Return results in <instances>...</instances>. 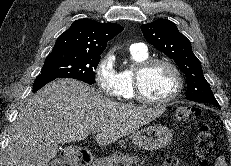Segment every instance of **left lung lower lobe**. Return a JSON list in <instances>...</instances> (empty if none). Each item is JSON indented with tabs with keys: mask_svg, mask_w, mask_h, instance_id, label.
<instances>
[{
	"mask_svg": "<svg viewBox=\"0 0 231 166\" xmlns=\"http://www.w3.org/2000/svg\"><path fill=\"white\" fill-rule=\"evenodd\" d=\"M210 104H213V105H215V106H217V107L220 108V105L218 104V102L217 103H210Z\"/></svg>",
	"mask_w": 231,
	"mask_h": 166,
	"instance_id": "obj_1",
	"label": "left lung lower lobe"
}]
</instances>
